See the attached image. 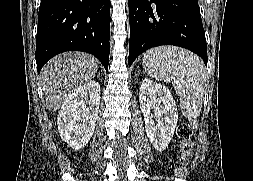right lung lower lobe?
I'll return each mask as SVG.
<instances>
[{
    "label": "right lung lower lobe",
    "mask_w": 253,
    "mask_h": 181,
    "mask_svg": "<svg viewBox=\"0 0 253 181\" xmlns=\"http://www.w3.org/2000/svg\"><path fill=\"white\" fill-rule=\"evenodd\" d=\"M110 0H41L36 38L38 73L53 56L83 51L108 70Z\"/></svg>",
    "instance_id": "98d812e1"
}]
</instances>
